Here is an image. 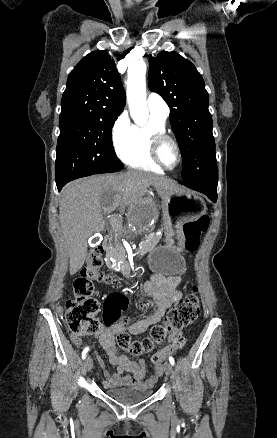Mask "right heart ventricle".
Returning a JSON list of instances; mask_svg holds the SVG:
<instances>
[{"instance_id":"right-heart-ventricle-1","label":"right heart ventricle","mask_w":277,"mask_h":438,"mask_svg":"<svg viewBox=\"0 0 277 438\" xmlns=\"http://www.w3.org/2000/svg\"><path fill=\"white\" fill-rule=\"evenodd\" d=\"M151 67V65H150ZM165 132V121L149 114L145 126L131 125L127 141L118 149L121 160L131 169L161 174L163 170L152 159L149 133Z\"/></svg>"}]
</instances>
